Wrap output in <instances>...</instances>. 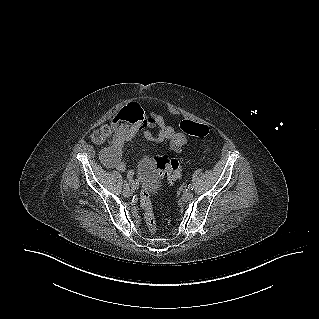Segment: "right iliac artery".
Listing matches in <instances>:
<instances>
[{
    "mask_svg": "<svg viewBox=\"0 0 319 319\" xmlns=\"http://www.w3.org/2000/svg\"><path fill=\"white\" fill-rule=\"evenodd\" d=\"M125 188H129V184H127V183L124 184V189H125Z\"/></svg>",
    "mask_w": 319,
    "mask_h": 319,
    "instance_id": "right-iliac-artery-1",
    "label": "right iliac artery"
}]
</instances>
